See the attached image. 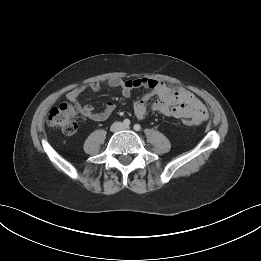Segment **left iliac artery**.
<instances>
[{
  "instance_id": "obj_1",
  "label": "left iliac artery",
  "mask_w": 261,
  "mask_h": 261,
  "mask_svg": "<svg viewBox=\"0 0 261 261\" xmlns=\"http://www.w3.org/2000/svg\"><path fill=\"white\" fill-rule=\"evenodd\" d=\"M134 129H135L136 131H140L141 126H140L139 124H135V125H134Z\"/></svg>"
}]
</instances>
